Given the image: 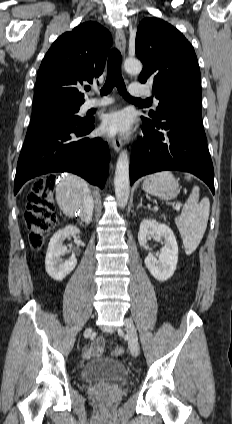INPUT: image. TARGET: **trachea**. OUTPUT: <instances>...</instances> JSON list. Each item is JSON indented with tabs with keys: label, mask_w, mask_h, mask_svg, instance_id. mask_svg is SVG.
Segmentation results:
<instances>
[{
	"label": "trachea",
	"mask_w": 232,
	"mask_h": 424,
	"mask_svg": "<svg viewBox=\"0 0 232 424\" xmlns=\"http://www.w3.org/2000/svg\"><path fill=\"white\" fill-rule=\"evenodd\" d=\"M121 53L113 48L108 57L107 78L104 87L101 90L102 95L109 94L114 87H117L119 93L127 100L135 103L149 104V100H141L131 97L126 90V86L121 75Z\"/></svg>",
	"instance_id": "obj_1"
}]
</instances>
